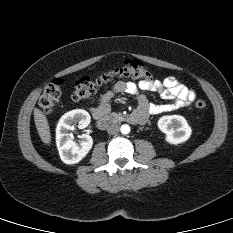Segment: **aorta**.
<instances>
[{
  "mask_svg": "<svg viewBox=\"0 0 233 233\" xmlns=\"http://www.w3.org/2000/svg\"><path fill=\"white\" fill-rule=\"evenodd\" d=\"M120 131L122 134H128L130 132V126L127 124H124L121 126Z\"/></svg>",
  "mask_w": 233,
  "mask_h": 233,
  "instance_id": "aorta-1",
  "label": "aorta"
}]
</instances>
